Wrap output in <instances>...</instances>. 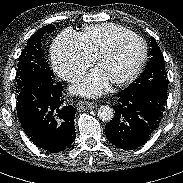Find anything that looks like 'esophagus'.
Here are the masks:
<instances>
[{
    "label": "esophagus",
    "instance_id": "1",
    "mask_svg": "<svg viewBox=\"0 0 183 183\" xmlns=\"http://www.w3.org/2000/svg\"><path fill=\"white\" fill-rule=\"evenodd\" d=\"M77 110L80 112H83L85 110H91L97 107V104L94 102H88V101H84V100H80L77 103Z\"/></svg>",
    "mask_w": 183,
    "mask_h": 183
}]
</instances>
